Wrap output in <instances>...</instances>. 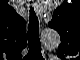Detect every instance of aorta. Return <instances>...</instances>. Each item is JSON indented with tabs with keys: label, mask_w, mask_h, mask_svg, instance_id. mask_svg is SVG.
Listing matches in <instances>:
<instances>
[{
	"label": "aorta",
	"mask_w": 80,
	"mask_h": 60,
	"mask_svg": "<svg viewBox=\"0 0 80 60\" xmlns=\"http://www.w3.org/2000/svg\"><path fill=\"white\" fill-rule=\"evenodd\" d=\"M49 41L47 42L48 46H51V43L53 42L54 45L58 46L60 43V37L57 33L53 32V33H48L45 35ZM52 39V40H51Z\"/></svg>",
	"instance_id": "obj_1"
}]
</instances>
